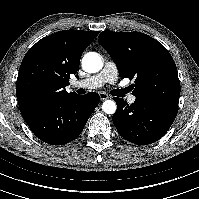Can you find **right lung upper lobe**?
Masks as SVG:
<instances>
[{"label": "right lung upper lobe", "instance_id": "obj_1", "mask_svg": "<svg viewBox=\"0 0 199 199\" xmlns=\"http://www.w3.org/2000/svg\"><path fill=\"white\" fill-rule=\"evenodd\" d=\"M98 31L63 30L49 35L26 53L22 60L16 96L22 115L55 101L75 95L68 93L71 74H75L83 51Z\"/></svg>", "mask_w": 199, "mask_h": 199}]
</instances>
